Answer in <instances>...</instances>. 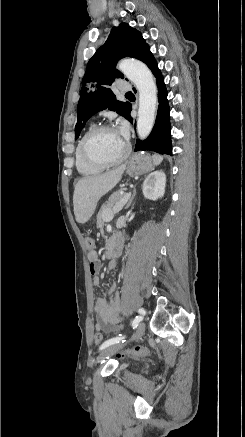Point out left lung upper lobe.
Instances as JSON below:
<instances>
[{"label": "left lung upper lobe", "instance_id": "5c2ea615", "mask_svg": "<svg viewBox=\"0 0 245 437\" xmlns=\"http://www.w3.org/2000/svg\"><path fill=\"white\" fill-rule=\"evenodd\" d=\"M149 50L142 34L122 23L114 27L108 39L89 60L82 79V89L77 106L75 139L80 135L85 122L95 113L108 108L126 118L131 104L116 100L111 85L117 78H124L116 70V63L124 57H141Z\"/></svg>", "mask_w": 245, "mask_h": 437}]
</instances>
